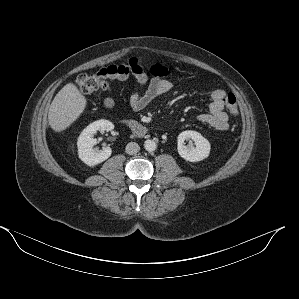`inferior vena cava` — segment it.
<instances>
[{
  "mask_svg": "<svg viewBox=\"0 0 299 299\" xmlns=\"http://www.w3.org/2000/svg\"><path fill=\"white\" fill-rule=\"evenodd\" d=\"M125 150H126L127 154L132 155V154H136L140 150V147H139L138 143L130 142L127 144Z\"/></svg>",
  "mask_w": 299,
  "mask_h": 299,
  "instance_id": "602c4592",
  "label": "inferior vena cava"
}]
</instances>
